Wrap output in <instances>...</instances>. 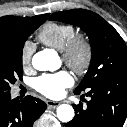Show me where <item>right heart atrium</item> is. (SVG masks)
<instances>
[{
    "instance_id": "obj_1",
    "label": "right heart atrium",
    "mask_w": 127,
    "mask_h": 127,
    "mask_svg": "<svg viewBox=\"0 0 127 127\" xmlns=\"http://www.w3.org/2000/svg\"><path fill=\"white\" fill-rule=\"evenodd\" d=\"M35 52V45L31 41H26L21 49V62L23 66L30 67Z\"/></svg>"
}]
</instances>
